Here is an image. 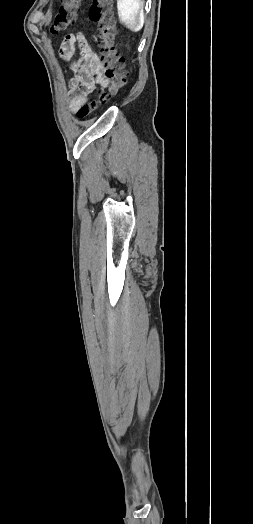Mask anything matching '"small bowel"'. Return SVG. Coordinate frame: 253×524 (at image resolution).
<instances>
[{
    "instance_id": "obj_1",
    "label": "small bowel",
    "mask_w": 253,
    "mask_h": 524,
    "mask_svg": "<svg viewBox=\"0 0 253 524\" xmlns=\"http://www.w3.org/2000/svg\"><path fill=\"white\" fill-rule=\"evenodd\" d=\"M75 34V31H72ZM58 49L64 53L65 58H69L78 43L81 57L74 63V77L71 81V96L76 102L85 101L96 87L105 88L108 80L104 76V67L96 51L88 43L86 38L78 33L76 35L68 34L63 38Z\"/></svg>"
}]
</instances>
